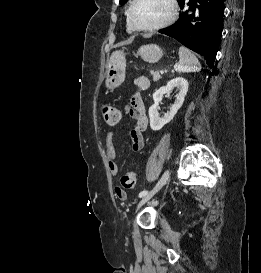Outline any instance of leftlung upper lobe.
<instances>
[{
  "label": "left lung upper lobe",
  "instance_id": "5c2ea615",
  "mask_svg": "<svg viewBox=\"0 0 261 273\" xmlns=\"http://www.w3.org/2000/svg\"><path fill=\"white\" fill-rule=\"evenodd\" d=\"M127 0H120V4L125 3ZM179 1V0H178Z\"/></svg>",
  "mask_w": 261,
  "mask_h": 273
}]
</instances>
